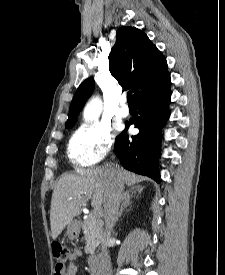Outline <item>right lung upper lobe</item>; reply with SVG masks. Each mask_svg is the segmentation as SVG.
Returning a JSON list of instances; mask_svg holds the SVG:
<instances>
[{
	"mask_svg": "<svg viewBox=\"0 0 225 275\" xmlns=\"http://www.w3.org/2000/svg\"><path fill=\"white\" fill-rule=\"evenodd\" d=\"M109 71L123 88L133 90L134 99L155 88L169 74L162 53L143 31L135 27L118 29L109 55ZM93 90L92 78L81 83L70 105L66 126L74 125Z\"/></svg>",
	"mask_w": 225,
	"mask_h": 275,
	"instance_id": "cb5924a9",
	"label": "right lung upper lobe"
}]
</instances>
